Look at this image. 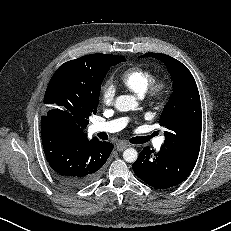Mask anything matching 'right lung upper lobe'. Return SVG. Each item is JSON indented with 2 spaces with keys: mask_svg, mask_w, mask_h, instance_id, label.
I'll use <instances>...</instances> for the list:
<instances>
[{
  "mask_svg": "<svg viewBox=\"0 0 231 231\" xmlns=\"http://www.w3.org/2000/svg\"><path fill=\"white\" fill-rule=\"evenodd\" d=\"M93 55H95V57H100V56H103L104 54H93ZM51 120L54 123H56L57 125H59L67 133H69L70 136H74V137H87L86 133H84V128L86 126H79V125H76V126H66V125L58 123L53 118H51Z\"/></svg>",
  "mask_w": 231,
  "mask_h": 231,
  "instance_id": "right-lung-upper-lobe-1",
  "label": "right lung upper lobe"
}]
</instances>
